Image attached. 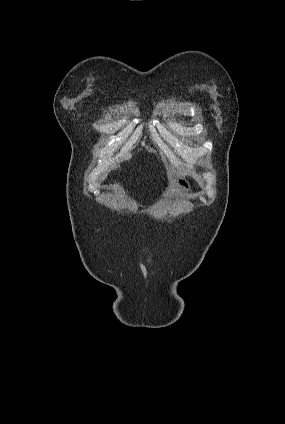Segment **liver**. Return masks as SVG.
<instances>
[{"label":"liver","mask_w":285,"mask_h":424,"mask_svg":"<svg viewBox=\"0 0 285 424\" xmlns=\"http://www.w3.org/2000/svg\"><path fill=\"white\" fill-rule=\"evenodd\" d=\"M169 176H170V177L172 176V172H170V173H169Z\"/></svg>","instance_id":"liver-1"}]
</instances>
